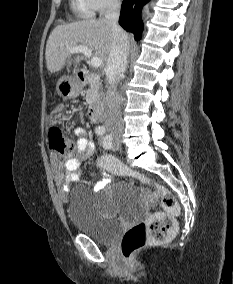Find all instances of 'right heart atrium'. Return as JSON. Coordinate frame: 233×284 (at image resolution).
Returning <instances> with one entry per match:
<instances>
[{
    "label": "right heart atrium",
    "instance_id": "1",
    "mask_svg": "<svg viewBox=\"0 0 233 284\" xmlns=\"http://www.w3.org/2000/svg\"><path fill=\"white\" fill-rule=\"evenodd\" d=\"M121 0H89L94 11L105 12L120 4Z\"/></svg>",
    "mask_w": 233,
    "mask_h": 284
}]
</instances>
